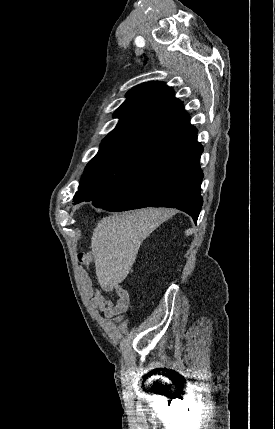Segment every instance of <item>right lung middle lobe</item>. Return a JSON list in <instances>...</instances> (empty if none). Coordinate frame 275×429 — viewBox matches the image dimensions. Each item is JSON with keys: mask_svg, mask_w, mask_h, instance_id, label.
<instances>
[{"mask_svg": "<svg viewBox=\"0 0 275 429\" xmlns=\"http://www.w3.org/2000/svg\"><path fill=\"white\" fill-rule=\"evenodd\" d=\"M149 158L114 149L98 152L87 164L74 200L93 201L112 191Z\"/></svg>", "mask_w": 275, "mask_h": 429, "instance_id": "right-lung-middle-lobe-1", "label": "right lung middle lobe"}]
</instances>
